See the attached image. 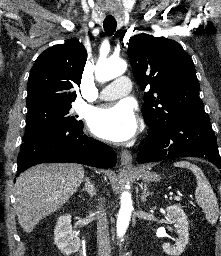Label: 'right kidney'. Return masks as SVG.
Here are the masks:
<instances>
[{
  "label": "right kidney",
  "instance_id": "ca27d5eb",
  "mask_svg": "<svg viewBox=\"0 0 221 256\" xmlns=\"http://www.w3.org/2000/svg\"><path fill=\"white\" fill-rule=\"evenodd\" d=\"M54 242L66 256L79 250L80 239L72 230L71 215H63L58 218L54 229Z\"/></svg>",
  "mask_w": 221,
  "mask_h": 256
}]
</instances>
